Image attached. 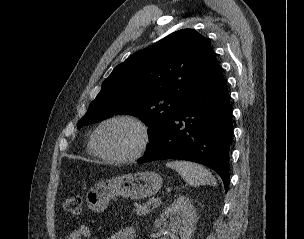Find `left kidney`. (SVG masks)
Instances as JSON below:
<instances>
[{
	"mask_svg": "<svg viewBox=\"0 0 304 239\" xmlns=\"http://www.w3.org/2000/svg\"><path fill=\"white\" fill-rule=\"evenodd\" d=\"M165 217L170 218L169 224L165 222ZM196 220V211L191 201L186 196H180L161 214V219L155 222V226H162L167 232L179 233L181 239H190Z\"/></svg>",
	"mask_w": 304,
	"mask_h": 239,
	"instance_id": "5707ae66",
	"label": "left kidney"
}]
</instances>
